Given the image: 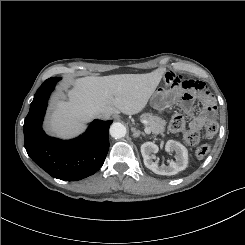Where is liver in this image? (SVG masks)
Instances as JSON below:
<instances>
[{
  "instance_id": "obj_1",
  "label": "liver",
  "mask_w": 245,
  "mask_h": 245,
  "mask_svg": "<svg viewBox=\"0 0 245 245\" xmlns=\"http://www.w3.org/2000/svg\"><path fill=\"white\" fill-rule=\"evenodd\" d=\"M165 69L147 74H119L83 77L73 81L69 100H55L49 120L51 133L68 138L81 133L85 123L97 114L141 112L160 83Z\"/></svg>"
}]
</instances>
